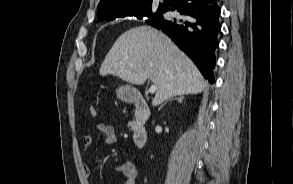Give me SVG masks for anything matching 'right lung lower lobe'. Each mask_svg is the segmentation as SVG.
I'll return each instance as SVG.
<instances>
[{"mask_svg":"<svg viewBox=\"0 0 293 184\" xmlns=\"http://www.w3.org/2000/svg\"><path fill=\"white\" fill-rule=\"evenodd\" d=\"M167 11L178 12L181 17L172 20L162 17L147 23L166 33L213 83L214 52L221 29L217 0H170L164 12Z\"/></svg>","mask_w":293,"mask_h":184,"instance_id":"1","label":"right lung lower lobe"}]
</instances>
